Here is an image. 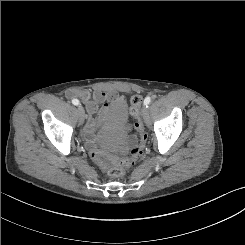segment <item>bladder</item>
<instances>
[{
	"mask_svg": "<svg viewBox=\"0 0 245 245\" xmlns=\"http://www.w3.org/2000/svg\"><path fill=\"white\" fill-rule=\"evenodd\" d=\"M127 109L126 106H117L112 112L109 114H101L96 120V125L98 127H102L108 120L115 119L118 121H123L126 118ZM119 144L117 139H104L102 141V145L109 150L116 149Z\"/></svg>",
	"mask_w": 245,
	"mask_h": 245,
	"instance_id": "obj_1",
	"label": "bladder"
}]
</instances>
